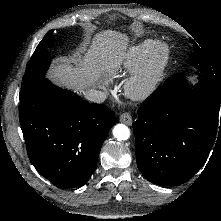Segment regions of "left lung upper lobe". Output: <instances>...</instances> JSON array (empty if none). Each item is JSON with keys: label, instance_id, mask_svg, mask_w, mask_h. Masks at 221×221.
I'll return each instance as SVG.
<instances>
[{"label": "left lung upper lobe", "instance_id": "5c2ea615", "mask_svg": "<svg viewBox=\"0 0 221 221\" xmlns=\"http://www.w3.org/2000/svg\"><path fill=\"white\" fill-rule=\"evenodd\" d=\"M190 64L195 67L199 73L214 75L206 55L196 44L193 45V52L190 56Z\"/></svg>", "mask_w": 221, "mask_h": 221}]
</instances>
